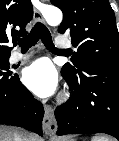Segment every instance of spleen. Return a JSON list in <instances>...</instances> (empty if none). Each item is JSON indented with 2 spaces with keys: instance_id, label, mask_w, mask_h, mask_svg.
I'll return each mask as SVG.
<instances>
[{
  "instance_id": "spleen-1",
  "label": "spleen",
  "mask_w": 119,
  "mask_h": 141,
  "mask_svg": "<svg viewBox=\"0 0 119 141\" xmlns=\"http://www.w3.org/2000/svg\"><path fill=\"white\" fill-rule=\"evenodd\" d=\"M91 141H110V140L103 136H94L92 137Z\"/></svg>"
}]
</instances>
